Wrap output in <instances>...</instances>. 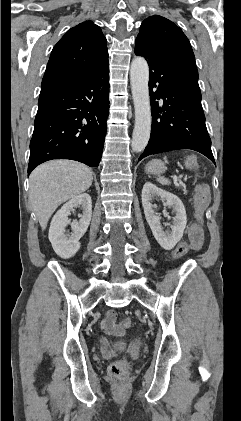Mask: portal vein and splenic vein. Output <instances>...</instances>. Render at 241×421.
Here are the masks:
<instances>
[{
    "label": "portal vein and splenic vein",
    "instance_id": "obj_1",
    "mask_svg": "<svg viewBox=\"0 0 241 421\" xmlns=\"http://www.w3.org/2000/svg\"><path fill=\"white\" fill-rule=\"evenodd\" d=\"M172 178H173L174 182H175L178 186L183 185L182 180H179V179H178V177H177L176 175L172 176Z\"/></svg>",
    "mask_w": 241,
    "mask_h": 421
}]
</instances>
